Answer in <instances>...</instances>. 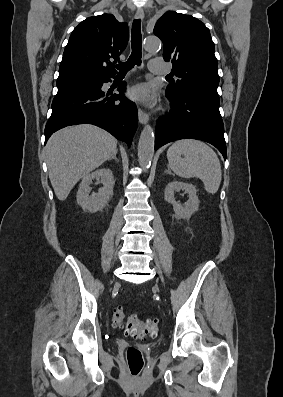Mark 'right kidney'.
Listing matches in <instances>:
<instances>
[{
	"mask_svg": "<svg viewBox=\"0 0 283 397\" xmlns=\"http://www.w3.org/2000/svg\"><path fill=\"white\" fill-rule=\"evenodd\" d=\"M94 179L101 180L103 187L98 190L97 194L89 195L91 191L90 184ZM114 183L113 173L109 168H101L86 174L77 192V203L83 210H88L92 213L102 210L113 195Z\"/></svg>",
	"mask_w": 283,
	"mask_h": 397,
	"instance_id": "ca27d5eb",
	"label": "right kidney"
}]
</instances>
